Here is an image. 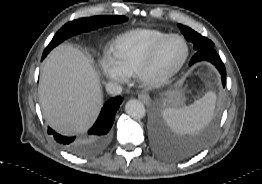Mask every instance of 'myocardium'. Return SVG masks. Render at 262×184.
Instances as JSON below:
<instances>
[{
    "label": "myocardium",
    "mask_w": 262,
    "mask_h": 184,
    "mask_svg": "<svg viewBox=\"0 0 262 184\" xmlns=\"http://www.w3.org/2000/svg\"><path fill=\"white\" fill-rule=\"evenodd\" d=\"M171 39H179L182 41L184 45V55L182 59L172 68L169 70L163 72V73H155L154 68L156 61L165 47V45L171 40ZM189 56V46L187 41L184 37L178 35V34H168L166 37H164L161 41H159L148 53L146 58L142 61V63L139 65L135 72V76L137 80L144 86L147 87H159L167 82H169L184 66Z\"/></svg>",
    "instance_id": "obj_1"
}]
</instances>
